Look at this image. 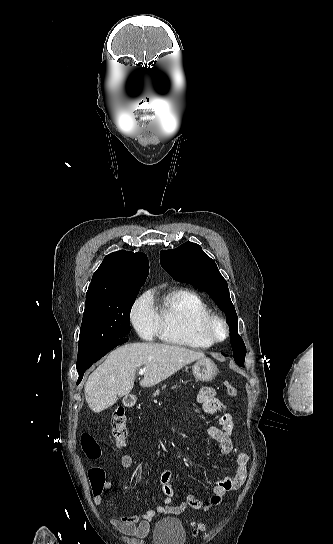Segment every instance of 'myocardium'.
Listing matches in <instances>:
<instances>
[{"mask_svg":"<svg viewBox=\"0 0 333 544\" xmlns=\"http://www.w3.org/2000/svg\"><path fill=\"white\" fill-rule=\"evenodd\" d=\"M217 328L222 330V335L217 334ZM229 333L227 321L217 313L211 312L202 320L201 334L212 345L224 342L229 337Z\"/></svg>","mask_w":333,"mask_h":544,"instance_id":"f54148a6","label":"myocardium"}]
</instances>
